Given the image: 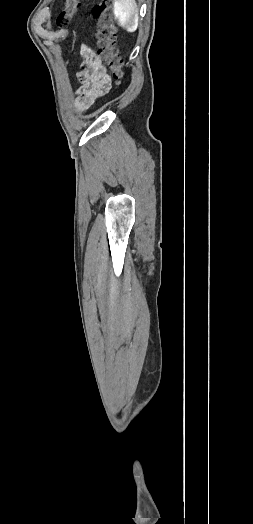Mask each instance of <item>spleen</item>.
Returning a JSON list of instances; mask_svg holds the SVG:
<instances>
[{
	"label": "spleen",
	"mask_w": 253,
	"mask_h": 524,
	"mask_svg": "<svg viewBox=\"0 0 253 524\" xmlns=\"http://www.w3.org/2000/svg\"><path fill=\"white\" fill-rule=\"evenodd\" d=\"M113 13L118 24L127 32H134L138 27L136 4L133 0H114Z\"/></svg>",
	"instance_id": "3e777b00"
}]
</instances>
